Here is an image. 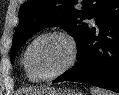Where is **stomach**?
<instances>
[{
  "label": "stomach",
  "mask_w": 119,
  "mask_h": 95,
  "mask_svg": "<svg viewBox=\"0 0 119 95\" xmlns=\"http://www.w3.org/2000/svg\"><path fill=\"white\" fill-rule=\"evenodd\" d=\"M27 95H82V93L71 89L45 88L42 91Z\"/></svg>",
  "instance_id": "obj_1"
}]
</instances>
